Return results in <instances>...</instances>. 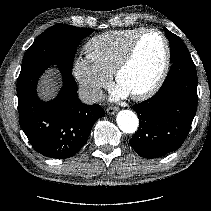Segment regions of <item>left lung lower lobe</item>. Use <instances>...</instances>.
<instances>
[{
	"instance_id": "left-lung-lower-lobe-1",
	"label": "left lung lower lobe",
	"mask_w": 211,
	"mask_h": 211,
	"mask_svg": "<svg viewBox=\"0 0 211 211\" xmlns=\"http://www.w3.org/2000/svg\"><path fill=\"white\" fill-rule=\"evenodd\" d=\"M197 82L191 56L179 57L159 91L134 105L140 125L130 145L141 157H161L182 146L197 109Z\"/></svg>"
}]
</instances>
